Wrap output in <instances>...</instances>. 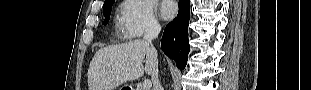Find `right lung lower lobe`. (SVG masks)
<instances>
[{
    "label": "right lung lower lobe",
    "mask_w": 311,
    "mask_h": 90,
    "mask_svg": "<svg viewBox=\"0 0 311 90\" xmlns=\"http://www.w3.org/2000/svg\"><path fill=\"white\" fill-rule=\"evenodd\" d=\"M188 23L189 0H180L178 16L166 25L161 41L163 52L174 59L180 69H184L188 59Z\"/></svg>",
    "instance_id": "right-lung-lower-lobe-1"
}]
</instances>
